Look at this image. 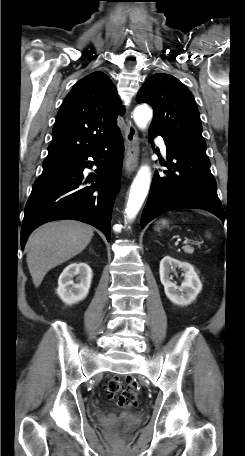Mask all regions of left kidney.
<instances>
[{
    "label": "left kidney",
    "mask_w": 245,
    "mask_h": 456,
    "mask_svg": "<svg viewBox=\"0 0 245 456\" xmlns=\"http://www.w3.org/2000/svg\"><path fill=\"white\" fill-rule=\"evenodd\" d=\"M176 268H180L184 272V280L181 286H177L170 280V273ZM159 273L167 298L176 305L191 304L202 290V283L197 273L193 266L187 262L165 256L160 262Z\"/></svg>",
    "instance_id": "5707ae66"
}]
</instances>
